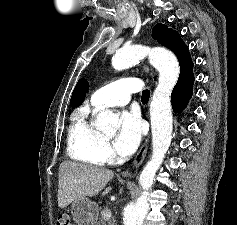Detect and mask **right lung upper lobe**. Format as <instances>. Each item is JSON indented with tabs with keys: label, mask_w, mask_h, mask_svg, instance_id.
<instances>
[{
	"label": "right lung upper lobe",
	"mask_w": 237,
	"mask_h": 225,
	"mask_svg": "<svg viewBox=\"0 0 237 225\" xmlns=\"http://www.w3.org/2000/svg\"><path fill=\"white\" fill-rule=\"evenodd\" d=\"M88 89L89 84L87 80L84 78L80 79L73 90L70 105L72 107L79 106L85 98Z\"/></svg>",
	"instance_id": "obj_1"
}]
</instances>
